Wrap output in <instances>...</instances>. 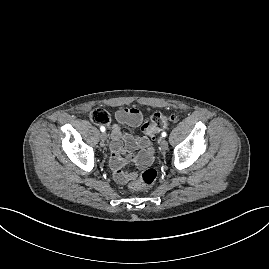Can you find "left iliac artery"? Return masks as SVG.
<instances>
[{"instance_id": "1", "label": "left iliac artery", "mask_w": 269, "mask_h": 269, "mask_svg": "<svg viewBox=\"0 0 269 269\" xmlns=\"http://www.w3.org/2000/svg\"><path fill=\"white\" fill-rule=\"evenodd\" d=\"M167 133L166 132H162V137H166Z\"/></svg>"}]
</instances>
